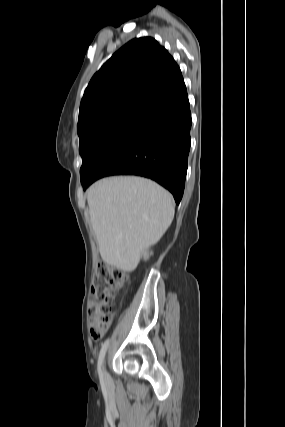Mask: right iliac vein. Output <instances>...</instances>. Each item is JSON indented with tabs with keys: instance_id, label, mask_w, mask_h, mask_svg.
Instances as JSON below:
<instances>
[{
	"instance_id": "63e3f726",
	"label": "right iliac vein",
	"mask_w": 285,
	"mask_h": 427,
	"mask_svg": "<svg viewBox=\"0 0 285 427\" xmlns=\"http://www.w3.org/2000/svg\"><path fill=\"white\" fill-rule=\"evenodd\" d=\"M103 369H104V381L106 384H109L110 380H109L108 373L105 370V366L103 367Z\"/></svg>"
}]
</instances>
